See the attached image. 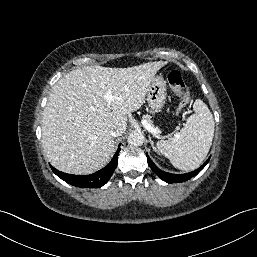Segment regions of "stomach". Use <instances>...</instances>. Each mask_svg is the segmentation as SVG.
<instances>
[{
  "mask_svg": "<svg viewBox=\"0 0 257 257\" xmlns=\"http://www.w3.org/2000/svg\"><path fill=\"white\" fill-rule=\"evenodd\" d=\"M166 82L162 75L154 76L147 92V101L152 112H160L166 102Z\"/></svg>",
  "mask_w": 257,
  "mask_h": 257,
  "instance_id": "0dacf381",
  "label": "stomach"
}]
</instances>
